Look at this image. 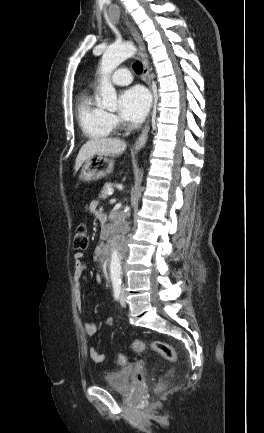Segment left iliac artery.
<instances>
[{
	"label": "left iliac artery",
	"mask_w": 264,
	"mask_h": 433,
	"mask_svg": "<svg viewBox=\"0 0 264 433\" xmlns=\"http://www.w3.org/2000/svg\"><path fill=\"white\" fill-rule=\"evenodd\" d=\"M112 284L114 290V297L118 299L121 291V278L119 277L112 278Z\"/></svg>",
	"instance_id": "44dca946"
}]
</instances>
